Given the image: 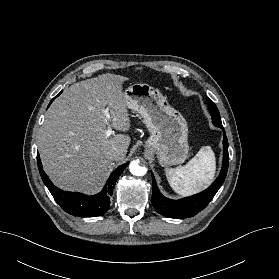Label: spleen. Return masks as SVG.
<instances>
[{
  "label": "spleen",
  "instance_id": "3e777b00",
  "mask_svg": "<svg viewBox=\"0 0 279 279\" xmlns=\"http://www.w3.org/2000/svg\"><path fill=\"white\" fill-rule=\"evenodd\" d=\"M215 170L214 152L211 147L203 146L185 166L166 168L165 173L172 189L179 195L187 196L208 185L214 178Z\"/></svg>",
  "mask_w": 279,
  "mask_h": 279
}]
</instances>
